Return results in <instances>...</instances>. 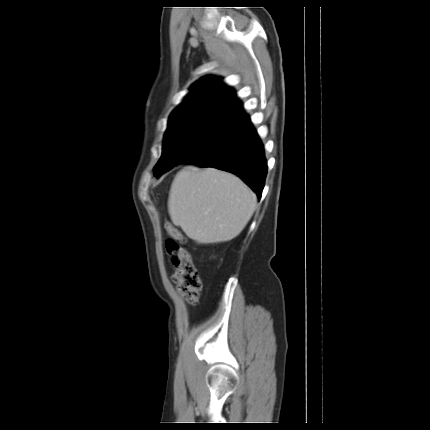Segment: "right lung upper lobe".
I'll list each match as a JSON object with an SVG mask.
<instances>
[{
    "instance_id": "1",
    "label": "right lung upper lobe",
    "mask_w": 430,
    "mask_h": 430,
    "mask_svg": "<svg viewBox=\"0 0 430 430\" xmlns=\"http://www.w3.org/2000/svg\"><path fill=\"white\" fill-rule=\"evenodd\" d=\"M206 104L226 105L241 117L245 115L240 102L235 98L234 91L226 87L219 78L211 76L204 77L195 83L191 88V92L175 111L196 108Z\"/></svg>"
}]
</instances>
